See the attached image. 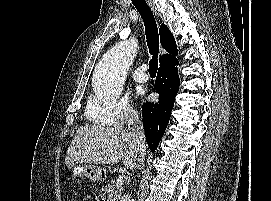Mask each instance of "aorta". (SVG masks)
<instances>
[{
    "mask_svg": "<svg viewBox=\"0 0 271 201\" xmlns=\"http://www.w3.org/2000/svg\"><path fill=\"white\" fill-rule=\"evenodd\" d=\"M138 50L136 39L122 41L108 50L95 68L94 90L99 98L116 100Z\"/></svg>",
    "mask_w": 271,
    "mask_h": 201,
    "instance_id": "obj_1",
    "label": "aorta"
}]
</instances>
